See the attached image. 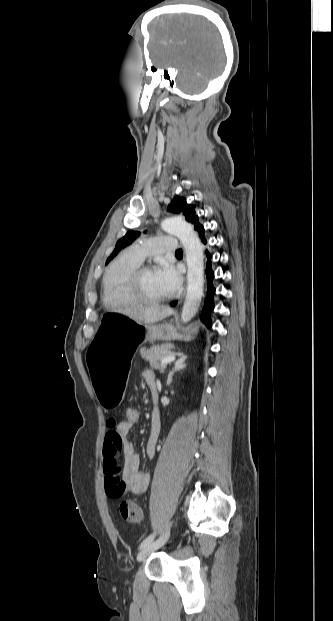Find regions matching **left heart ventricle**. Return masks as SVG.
Listing matches in <instances>:
<instances>
[{
    "label": "left heart ventricle",
    "mask_w": 333,
    "mask_h": 621,
    "mask_svg": "<svg viewBox=\"0 0 333 621\" xmlns=\"http://www.w3.org/2000/svg\"><path fill=\"white\" fill-rule=\"evenodd\" d=\"M140 289L143 294L151 298H160L168 295L155 270L146 272L141 276Z\"/></svg>",
    "instance_id": "1"
}]
</instances>
